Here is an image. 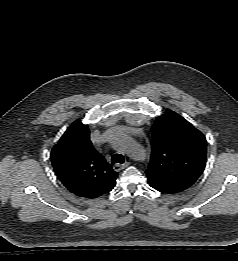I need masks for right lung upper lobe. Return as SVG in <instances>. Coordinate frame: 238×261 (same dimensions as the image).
<instances>
[{"label":"right lung upper lobe","instance_id":"1","mask_svg":"<svg viewBox=\"0 0 238 261\" xmlns=\"http://www.w3.org/2000/svg\"><path fill=\"white\" fill-rule=\"evenodd\" d=\"M50 159L59 180L76 196L97 198L115 186L118 173L94 149L88 126L80 119L65 131Z\"/></svg>","mask_w":238,"mask_h":261}]
</instances>
